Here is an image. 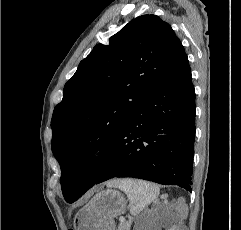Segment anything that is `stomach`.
Segmentation results:
<instances>
[{
	"label": "stomach",
	"mask_w": 241,
	"mask_h": 230,
	"mask_svg": "<svg viewBox=\"0 0 241 230\" xmlns=\"http://www.w3.org/2000/svg\"><path fill=\"white\" fill-rule=\"evenodd\" d=\"M127 201L117 190L97 193L74 217V230H115L114 218L126 211Z\"/></svg>",
	"instance_id": "stomach-1"
}]
</instances>
